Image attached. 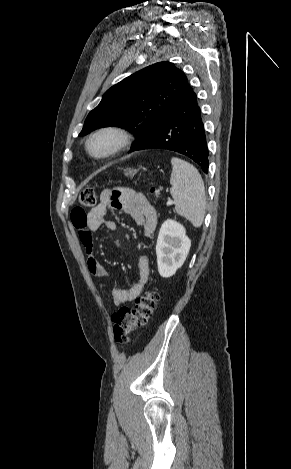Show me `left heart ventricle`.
Wrapping results in <instances>:
<instances>
[{
	"mask_svg": "<svg viewBox=\"0 0 291 469\" xmlns=\"http://www.w3.org/2000/svg\"><path fill=\"white\" fill-rule=\"evenodd\" d=\"M114 139L110 135H101L92 140L90 149L95 154L107 152L113 145Z\"/></svg>",
	"mask_w": 291,
	"mask_h": 469,
	"instance_id": "b2bd125f",
	"label": "left heart ventricle"
}]
</instances>
